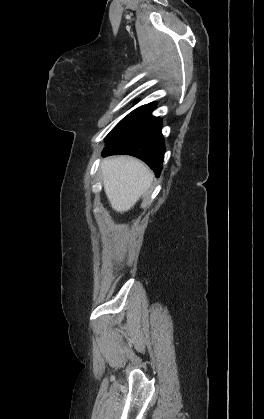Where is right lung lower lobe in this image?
<instances>
[{
  "mask_svg": "<svg viewBox=\"0 0 264 419\" xmlns=\"http://www.w3.org/2000/svg\"><path fill=\"white\" fill-rule=\"evenodd\" d=\"M155 103L146 105L134 122L122 135L106 145L103 156L128 154L135 156L149 165L159 177L164 160L165 145L161 133V120L150 113Z\"/></svg>",
  "mask_w": 264,
  "mask_h": 419,
  "instance_id": "obj_1",
  "label": "right lung lower lobe"
}]
</instances>
